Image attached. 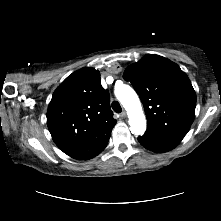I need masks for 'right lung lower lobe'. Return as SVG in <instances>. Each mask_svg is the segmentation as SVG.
<instances>
[{"mask_svg":"<svg viewBox=\"0 0 221 221\" xmlns=\"http://www.w3.org/2000/svg\"><path fill=\"white\" fill-rule=\"evenodd\" d=\"M106 145H107V144H106ZM106 145H105L104 147H102L101 150H100L96 155H98L101 151H103L104 148L106 147ZM96 155H95V156H96Z\"/></svg>","mask_w":221,"mask_h":221,"instance_id":"1","label":"right lung lower lobe"}]
</instances>
